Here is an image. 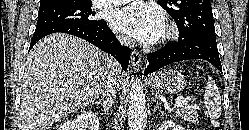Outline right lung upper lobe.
Segmentation results:
<instances>
[{
    "mask_svg": "<svg viewBox=\"0 0 249 130\" xmlns=\"http://www.w3.org/2000/svg\"><path fill=\"white\" fill-rule=\"evenodd\" d=\"M78 1H87V0H41L40 7L66 5Z\"/></svg>",
    "mask_w": 249,
    "mask_h": 130,
    "instance_id": "right-lung-upper-lobe-1",
    "label": "right lung upper lobe"
}]
</instances>
